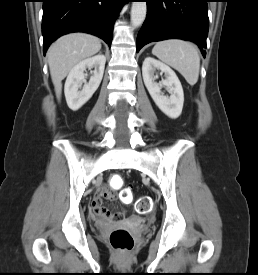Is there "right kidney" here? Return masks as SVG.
<instances>
[{
	"label": "right kidney",
	"mask_w": 258,
	"mask_h": 275,
	"mask_svg": "<svg viewBox=\"0 0 258 275\" xmlns=\"http://www.w3.org/2000/svg\"><path fill=\"white\" fill-rule=\"evenodd\" d=\"M106 58L104 55H96L87 58L75 65L69 72L65 82L64 93L69 108L73 111L81 108L94 94L103 78ZM95 68L89 82L82 90L81 82L85 78L86 68Z\"/></svg>",
	"instance_id": "ca27d5eb"
}]
</instances>
